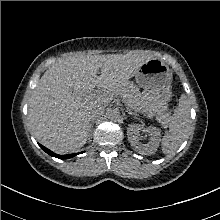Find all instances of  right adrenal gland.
Segmentation results:
<instances>
[{
	"instance_id": "1",
	"label": "right adrenal gland",
	"mask_w": 220,
	"mask_h": 220,
	"mask_svg": "<svg viewBox=\"0 0 220 220\" xmlns=\"http://www.w3.org/2000/svg\"><path fill=\"white\" fill-rule=\"evenodd\" d=\"M93 125H94V122H91L90 123V128H89V136L91 135V132H92V129H93Z\"/></svg>"
}]
</instances>
